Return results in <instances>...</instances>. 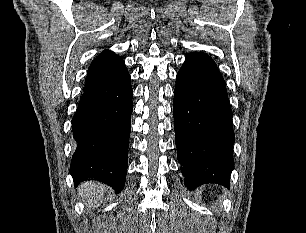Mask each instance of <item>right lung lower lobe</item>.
<instances>
[{
    "label": "right lung lower lobe",
    "mask_w": 306,
    "mask_h": 233,
    "mask_svg": "<svg viewBox=\"0 0 306 233\" xmlns=\"http://www.w3.org/2000/svg\"><path fill=\"white\" fill-rule=\"evenodd\" d=\"M132 95L127 69L104 84L84 90L72 119L75 152L70 174L76 184L95 178L116 192L123 189Z\"/></svg>",
    "instance_id": "1"
}]
</instances>
